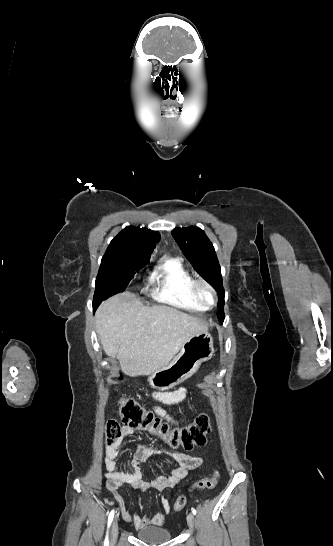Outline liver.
<instances>
[{
	"mask_svg": "<svg viewBox=\"0 0 333 546\" xmlns=\"http://www.w3.org/2000/svg\"><path fill=\"white\" fill-rule=\"evenodd\" d=\"M95 324L106 355L131 377L165 367L192 336L207 330L199 318L165 305L146 307L128 291L104 301Z\"/></svg>",
	"mask_w": 333,
	"mask_h": 546,
	"instance_id": "liver-1",
	"label": "liver"
}]
</instances>
